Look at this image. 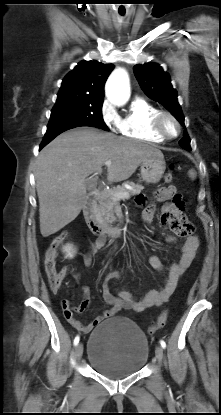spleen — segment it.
I'll list each match as a JSON object with an SVG mask.
<instances>
[{
	"mask_svg": "<svg viewBox=\"0 0 221 415\" xmlns=\"http://www.w3.org/2000/svg\"><path fill=\"white\" fill-rule=\"evenodd\" d=\"M189 176L191 179H195L196 178V172L194 170H190L189 171Z\"/></svg>",
	"mask_w": 221,
	"mask_h": 415,
	"instance_id": "obj_1",
	"label": "spleen"
}]
</instances>
